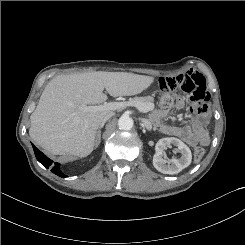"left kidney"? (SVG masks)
Segmentation results:
<instances>
[{"label": "left kidney", "mask_w": 245, "mask_h": 245, "mask_svg": "<svg viewBox=\"0 0 245 245\" xmlns=\"http://www.w3.org/2000/svg\"><path fill=\"white\" fill-rule=\"evenodd\" d=\"M170 145L176 146L181 157L179 159L172 158L170 160L163 159V150ZM156 153L153 157V166L164 174H178L191 164L192 153L189 147L180 139L175 137H167L160 139L156 144Z\"/></svg>", "instance_id": "left-kidney-1"}]
</instances>
